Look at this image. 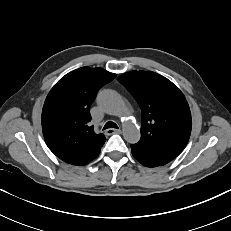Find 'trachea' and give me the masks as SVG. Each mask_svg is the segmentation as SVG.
Instances as JSON below:
<instances>
[{"instance_id": "obj_1", "label": "trachea", "mask_w": 231, "mask_h": 231, "mask_svg": "<svg viewBox=\"0 0 231 231\" xmlns=\"http://www.w3.org/2000/svg\"><path fill=\"white\" fill-rule=\"evenodd\" d=\"M109 128H116V129H118V126H117L114 122L108 121V122L105 124L103 130L109 129Z\"/></svg>"}]
</instances>
